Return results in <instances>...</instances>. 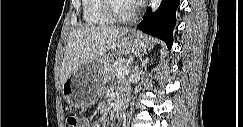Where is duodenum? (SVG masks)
I'll return each mask as SVG.
<instances>
[{"label":"duodenum","instance_id":"410a0bca","mask_svg":"<svg viewBox=\"0 0 243 127\" xmlns=\"http://www.w3.org/2000/svg\"><path fill=\"white\" fill-rule=\"evenodd\" d=\"M125 105H126V98L125 97H122L118 100V102L116 103L115 105V113L120 116L122 115L123 111H124V108H125Z\"/></svg>","mask_w":243,"mask_h":127}]
</instances>
